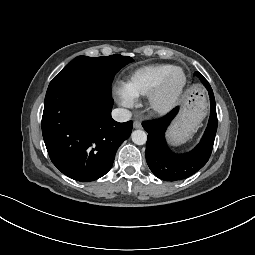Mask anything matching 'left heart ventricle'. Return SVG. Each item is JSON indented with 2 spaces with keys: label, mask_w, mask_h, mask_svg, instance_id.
Segmentation results:
<instances>
[{
  "label": "left heart ventricle",
  "mask_w": 255,
  "mask_h": 255,
  "mask_svg": "<svg viewBox=\"0 0 255 255\" xmlns=\"http://www.w3.org/2000/svg\"><path fill=\"white\" fill-rule=\"evenodd\" d=\"M181 78H182L181 74H176L172 80V86L174 87V86L178 85L181 81Z\"/></svg>",
  "instance_id": "left-heart-ventricle-1"
}]
</instances>
